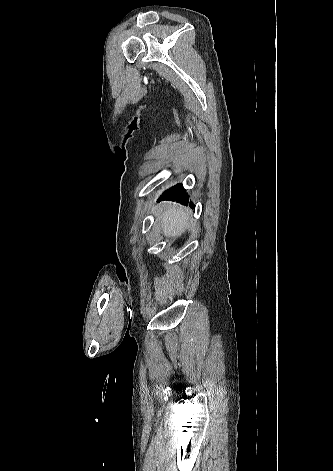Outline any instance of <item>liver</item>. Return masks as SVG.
Returning a JSON list of instances; mask_svg holds the SVG:
<instances>
[{"label":"liver","mask_w":333,"mask_h":471,"mask_svg":"<svg viewBox=\"0 0 333 471\" xmlns=\"http://www.w3.org/2000/svg\"><path fill=\"white\" fill-rule=\"evenodd\" d=\"M159 220L166 237H178L190 227L189 214L176 204L165 203L159 207Z\"/></svg>","instance_id":"obj_1"}]
</instances>
